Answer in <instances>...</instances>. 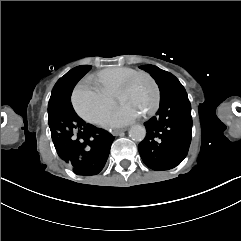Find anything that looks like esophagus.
<instances>
[{"label": "esophagus", "instance_id": "1", "mask_svg": "<svg viewBox=\"0 0 241 241\" xmlns=\"http://www.w3.org/2000/svg\"><path fill=\"white\" fill-rule=\"evenodd\" d=\"M125 131H126V129H116V130L112 131V135L118 136L120 133L125 132Z\"/></svg>", "mask_w": 241, "mask_h": 241}]
</instances>
